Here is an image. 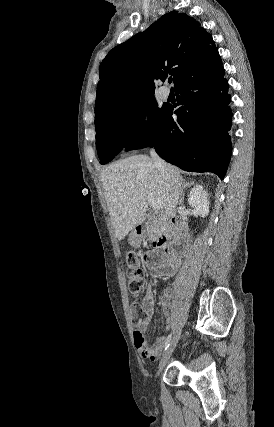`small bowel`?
Returning a JSON list of instances; mask_svg holds the SVG:
<instances>
[{
    "instance_id": "1",
    "label": "small bowel",
    "mask_w": 274,
    "mask_h": 427,
    "mask_svg": "<svg viewBox=\"0 0 274 427\" xmlns=\"http://www.w3.org/2000/svg\"><path fill=\"white\" fill-rule=\"evenodd\" d=\"M170 247L166 248L163 252L151 249L146 254L147 267L156 277H169L174 275L179 266L180 259L178 255L169 252ZM144 317L135 324L134 339L138 348L139 354L143 359L155 360L164 350L166 346V339L161 337L157 339L152 345H148L143 333L148 329L152 321L155 309V300L152 287L148 284L145 288L144 295L141 302ZM163 310L169 321L170 310V294L168 291L162 293Z\"/></svg>"
}]
</instances>
